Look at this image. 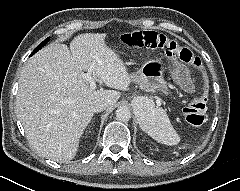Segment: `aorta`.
Instances as JSON below:
<instances>
[{"label":"aorta","mask_w":240,"mask_h":191,"mask_svg":"<svg viewBox=\"0 0 240 191\" xmlns=\"http://www.w3.org/2000/svg\"><path fill=\"white\" fill-rule=\"evenodd\" d=\"M140 101L145 109H147L149 107L150 102L147 99L141 98ZM116 118H117V120L122 121V122L129 121L131 119V112H130L129 108L127 106L118 107L116 110Z\"/></svg>","instance_id":"obj_1"}]
</instances>
